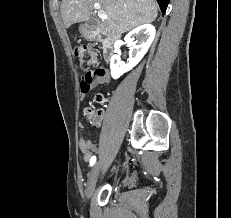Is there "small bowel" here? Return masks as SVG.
I'll list each match as a JSON object with an SVG mask.
<instances>
[{
    "label": "small bowel",
    "mask_w": 231,
    "mask_h": 218,
    "mask_svg": "<svg viewBox=\"0 0 231 218\" xmlns=\"http://www.w3.org/2000/svg\"><path fill=\"white\" fill-rule=\"evenodd\" d=\"M102 64L96 66L95 69H83V74H85L81 81V94L84 97L91 89L104 85L110 81V75L102 68ZM81 131L84 130V125L79 124ZM79 148L83 153V158L86 162H89L93 157V153L96 151L97 146L94 142L86 139L84 136L80 137Z\"/></svg>",
    "instance_id": "obj_1"
}]
</instances>
